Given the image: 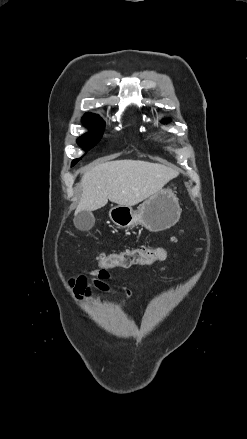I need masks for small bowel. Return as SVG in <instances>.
I'll list each match as a JSON object with an SVG mask.
<instances>
[{
    "instance_id": "small-bowel-1",
    "label": "small bowel",
    "mask_w": 247,
    "mask_h": 439,
    "mask_svg": "<svg viewBox=\"0 0 247 439\" xmlns=\"http://www.w3.org/2000/svg\"><path fill=\"white\" fill-rule=\"evenodd\" d=\"M165 270L162 267L160 271ZM110 274L107 270H96L90 273V277L86 274L79 275L75 280L70 282L71 288L77 300H82L83 298H89L92 295V288H96L103 292H110L111 287L108 284L110 279ZM123 290L127 298L132 294V290L128 286H124ZM126 303L124 300L121 303L123 306Z\"/></svg>"
}]
</instances>
